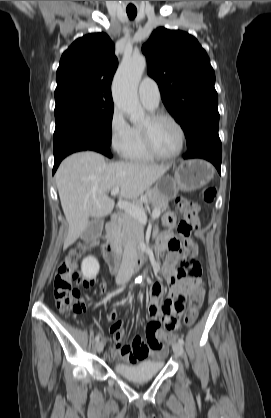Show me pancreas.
Wrapping results in <instances>:
<instances>
[{
    "mask_svg": "<svg viewBox=\"0 0 271 418\" xmlns=\"http://www.w3.org/2000/svg\"><path fill=\"white\" fill-rule=\"evenodd\" d=\"M147 199L152 204L154 209H158L160 212L167 208L168 201L166 198L156 189H150L147 192ZM142 207L143 203L141 200L135 203ZM112 235L117 237L122 243L132 237L137 241L143 240L144 229L143 224L138 219L131 216L129 213H123L118 219V224L112 231Z\"/></svg>",
    "mask_w": 271,
    "mask_h": 418,
    "instance_id": "obj_1",
    "label": "pancreas"
}]
</instances>
